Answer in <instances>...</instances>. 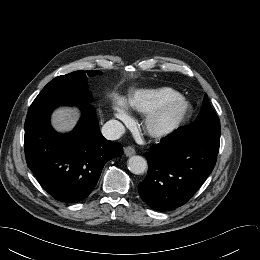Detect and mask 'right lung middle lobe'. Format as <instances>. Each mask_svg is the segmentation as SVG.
<instances>
[{"mask_svg":"<svg viewBox=\"0 0 260 260\" xmlns=\"http://www.w3.org/2000/svg\"><path fill=\"white\" fill-rule=\"evenodd\" d=\"M89 76L99 71H86ZM91 94L87 86L85 71H75L51 80L35 98L37 102L89 103Z\"/></svg>","mask_w":260,"mask_h":260,"instance_id":"obj_1","label":"right lung middle lobe"}]
</instances>
